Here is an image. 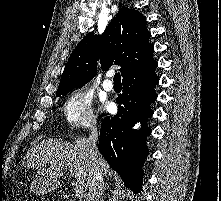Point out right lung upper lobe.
<instances>
[{
	"instance_id": "right-lung-upper-lobe-1",
	"label": "right lung upper lobe",
	"mask_w": 221,
	"mask_h": 201,
	"mask_svg": "<svg viewBox=\"0 0 221 201\" xmlns=\"http://www.w3.org/2000/svg\"><path fill=\"white\" fill-rule=\"evenodd\" d=\"M150 37L146 18L137 10L121 8L101 36L90 32L79 42L63 71L56 94L70 92L89 82L96 74L98 57L103 70L113 64L120 65L123 79L146 70L155 63Z\"/></svg>"
}]
</instances>
